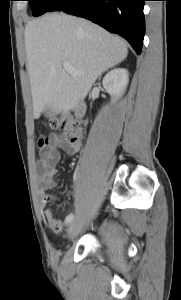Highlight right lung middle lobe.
<instances>
[{
	"label": "right lung middle lobe",
	"mask_w": 181,
	"mask_h": 300,
	"mask_svg": "<svg viewBox=\"0 0 181 300\" xmlns=\"http://www.w3.org/2000/svg\"><path fill=\"white\" fill-rule=\"evenodd\" d=\"M29 1L34 16H40L47 11H53L61 0H27Z\"/></svg>",
	"instance_id": "1"
}]
</instances>
